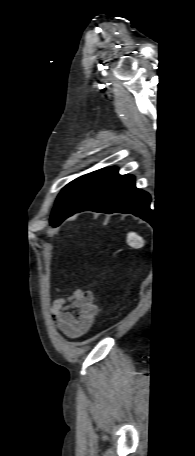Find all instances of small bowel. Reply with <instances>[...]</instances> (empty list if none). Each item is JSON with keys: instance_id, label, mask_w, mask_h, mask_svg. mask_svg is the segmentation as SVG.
<instances>
[{"instance_id": "1", "label": "small bowel", "mask_w": 195, "mask_h": 456, "mask_svg": "<svg viewBox=\"0 0 195 456\" xmlns=\"http://www.w3.org/2000/svg\"><path fill=\"white\" fill-rule=\"evenodd\" d=\"M70 309H74L73 312ZM49 311L54 324L64 335L77 338L90 329L98 309L90 291L76 290L67 297L56 299Z\"/></svg>"}]
</instances>
